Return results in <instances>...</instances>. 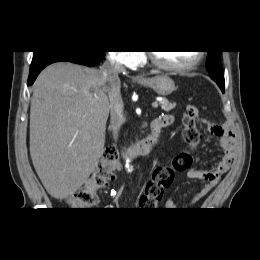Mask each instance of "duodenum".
Listing matches in <instances>:
<instances>
[{
  "mask_svg": "<svg viewBox=\"0 0 260 260\" xmlns=\"http://www.w3.org/2000/svg\"><path fill=\"white\" fill-rule=\"evenodd\" d=\"M164 127L165 123L160 118L153 120L150 125V133L135 145L124 149L122 155L128 159H135L150 154L158 144Z\"/></svg>",
  "mask_w": 260,
  "mask_h": 260,
  "instance_id": "obj_1",
  "label": "duodenum"
}]
</instances>
